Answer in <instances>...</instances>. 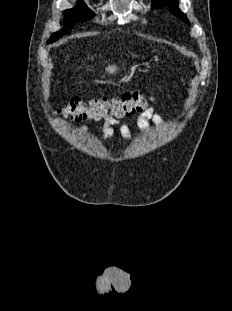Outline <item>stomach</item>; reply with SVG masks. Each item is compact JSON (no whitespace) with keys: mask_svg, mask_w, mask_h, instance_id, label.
I'll return each mask as SVG.
<instances>
[{"mask_svg":"<svg viewBox=\"0 0 232 311\" xmlns=\"http://www.w3.org/2000/svg\"><path fill=\"white\" fill-rule=\"evenodd\" d=\"M149 67V63H143L142 64V67L140 68V71H146V68H148Z\"/></svg>","mask_w":232,"mask_h":311,"instance_id":"stomach-1","label":"stomach"}]
</instances>
